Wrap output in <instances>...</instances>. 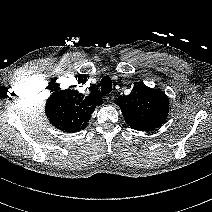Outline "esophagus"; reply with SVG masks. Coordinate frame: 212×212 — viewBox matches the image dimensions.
Segmentation results:
<instances>
[{
    "mask_svg": "<svg viewBox=\"0 0 212 212\" xmlns=\"http://www.w3.org/2000/svg\"><path fill=\"white\" fill-rule=\"evenodd\" d=\"M114 95H112V94H110V95H107L106 97H105V99H106V101L108 102V103H113L114 102Z\"/></svg>",
    "mask_w": 212,
    "mask_h": 212,
    "instance_id": "1",
    "label": "esophagus"
}]
</instances>
